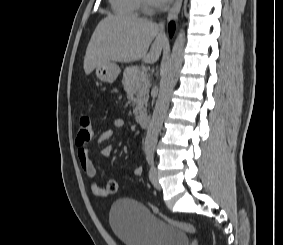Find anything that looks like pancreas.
Instances as JSON below:
<instances>
[{
    "label": "pancreas",
    "instance_id": "obj_1",
    "mask_svg": "<svg viewBox=\"0 0 283 245\" xmlns=\"http://www.w3.org/2000/svg\"><path fill=\"white\" fill-rule=\"evenodd\" d=\"M141 71L137 66H129L124 70L123 86L127 92L128 97L131 99L132 94L135 93L136 97L133 99L136 107L134 114L137 116L139 113L145 110L149 99L150 82L147 77L141 80Z\"/></svg>",
    "mask_w": 283,
    "mask_h": 245
}]
</instances>
